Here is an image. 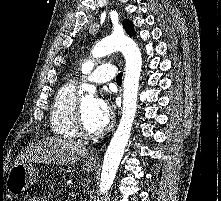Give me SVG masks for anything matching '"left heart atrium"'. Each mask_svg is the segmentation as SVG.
Here are the masks:
<instances>
[{
    "label": "left heart atrium",
    "mask_w": 221,
    "mask_h": 201,
    "mask_svg": "<svg viewBox=\"0 0 221 201\" xmlns=\"http://www.w3.org/2000/svg\"><path fill=\"white\" fill-rule=\"evenodd\" d=\"M96 106L101 117L108 122L112 113L109 104L103 99H97Z\"/></svg>",
    "instance_id": "1"
}]
</instances>
